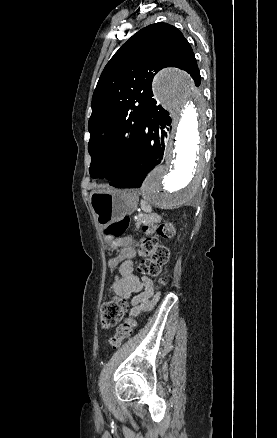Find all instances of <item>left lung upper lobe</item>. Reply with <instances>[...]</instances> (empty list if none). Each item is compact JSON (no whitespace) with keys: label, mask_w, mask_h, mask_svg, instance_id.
<instances>
[{"label":"left lung upper lobe","mask_w":277,"mask_h":438,"mask_svg":"<svg viewBox=\"0 0 277 438\" xmlns=\"http://www.w3.org/2000/svg\"><path fill=\"white\" fill-rule=\"evenodd\" d=\"M164 67L187 71L200 85L194 52L183 34L166 23L151 24L134 34L105 66L92 97L89 172L118 179L134 156L148 104L152 79Z\"/></svg>","instance_id":"left-lung-upper-lobe-1"}]
</instances>
